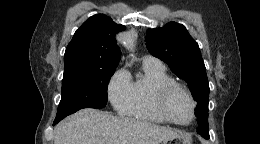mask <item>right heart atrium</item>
I'll return each mask as SVG.
<instances>
[{"label": "right heart atrium", "instance_id": "obj_1", "mask_svg": "<svg viewBox=\"0 0 260 144\" xmlns=\"http://www.w3.org/2000/svg\"><path fill=\"white\" fill-rule=\"evenodd\" d=\"M108 99L118 112L125 113L131 97V81L126 69L117 70L107 86Z\"/></svg>", "mask_w": 260, "mask_h": 144}]
</instances>
